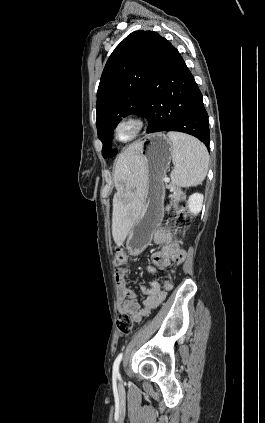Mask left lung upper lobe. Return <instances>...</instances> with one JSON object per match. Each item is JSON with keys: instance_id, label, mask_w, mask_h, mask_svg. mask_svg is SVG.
<instances>
[{"instance_id": "5c2ea615", "label": "left lung upper lobe", "mask_w": 265, "mask_h": 423, "mask_svg": "<svg viewBox=\"0 0 265 423\" xmlns=\"http://www.w3.org/2000/svg\"><path fill=\"white\" fill-rule=\"evenodd\" d=\"M164 38L154 31H135L113 51L97 91L96 126L104 157L115 156L112 133L121 117L139 114L142 96Z\"/></svg>"}]
</instances>
